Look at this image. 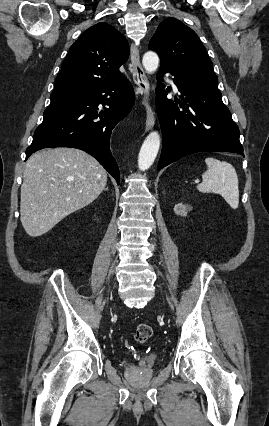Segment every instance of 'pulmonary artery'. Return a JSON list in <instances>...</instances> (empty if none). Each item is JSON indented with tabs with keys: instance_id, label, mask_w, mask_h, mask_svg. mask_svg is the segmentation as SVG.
I'll return each mask as SVG.
<instances>
[{
	"instance_id": "e3ab8cb5",
	"label": "pulmonary artery",
	"mask_w": 269,
	"mask_h": 426,
	"mask_svg": "<svg viewBox=\"0 0 269 426\" xmlns=\"http://www.w3.org/2000/svg\"><path fill=\"white\" fill-rule=\"evenodd\" d=\"M171 85L173 86L175 91H178L177 86L175 85V83L173 81H171Z\"/></svg>"
}]
</instances>
